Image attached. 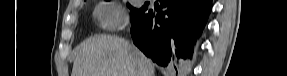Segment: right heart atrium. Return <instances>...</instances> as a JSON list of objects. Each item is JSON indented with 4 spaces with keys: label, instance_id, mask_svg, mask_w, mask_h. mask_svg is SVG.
<instances>
[{
    "label": "right heart atrium",
    "instance_id": "1",
    "mask_svg": "<svg viewBox=\"0 0 287 76\" xmlns=\"http://www.w3.org/2000/svg\"><path fill=\"white\" fill-rule=\"evenodd\" d=\"M97 19L105 30H116L126 22L122 7L114 1H103L96 8Z\"/></svg>",
    "mask_w": 287,
    "mask_h": 76
}]
</instances>
